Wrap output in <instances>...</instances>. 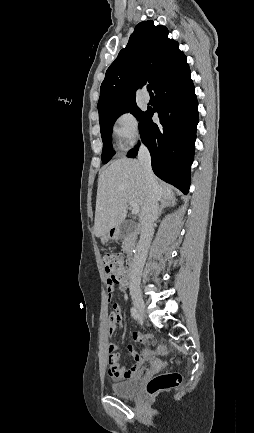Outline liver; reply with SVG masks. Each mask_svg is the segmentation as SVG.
Here are the masks:
<instances>
[{
	"mask_svg": "<svg viewBox=\"0 0 254 433\" xmlns=\"http://www.w3.org/2000/svg\"><path fill=\"white\" fill-rule=\"evenodd\" d=\"M157 200L173 198L172 188L154 176ZM147 198V185L138 160L122 158L113 161L99 176L94 233L107 235L126 217L129 202L142 210Z\"/></svg>",
	"mask_w": 254,
	"mask_h": 433,
	"instance_id": "obj_1",
	"label": "liver"
}]
</instances>
